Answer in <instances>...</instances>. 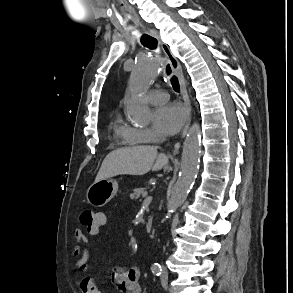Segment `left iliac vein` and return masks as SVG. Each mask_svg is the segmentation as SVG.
<instances>
[{"mask_svg":"<svg viewBox=\"0 0 293 293\" xmlns=\"http://www.w3.org/2000/svg\"><path fill=\"white\" fill-rule=\"evenodd\" d=\"M161 285L164 289H167L168 287V282H167V276L166 275H163L161 277Z\"/></svg>","mask_w":293,"mask_h":293,"instance_id":"left-iliac-vein-1","label":"left iliac vein"}]
</instances>
